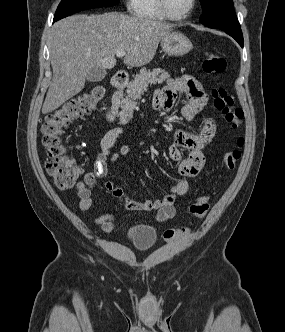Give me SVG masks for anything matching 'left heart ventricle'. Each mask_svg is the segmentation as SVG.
Instances as JSON below:
<instances>
[{"label": "left heart ventricle", "instance_id": "left-heart-ventricle-1", "mask_svg": "<svg viewBox=\"0 0 285 332\" xmlns=\"http://www.w3.org/2000/svg\"><path fill=\"white\" fill-rule=\"evenodd\" d=\"M169 10L174 15L184 14L191 5V0H167Z\"/></svg>", "mask_w": 285, "mask_h": 332}]
</instances>
